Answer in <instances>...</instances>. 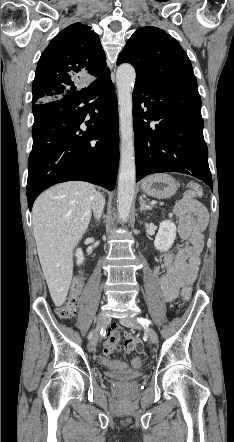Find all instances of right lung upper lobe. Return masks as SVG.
<instances>
[{
  "label": "right lung upper lobe",
  "mask_w": 234,
  "mask_h": 442,
  "mask_svg": "<svg viewBox=\"0 0 234 442\" xmlns=\"http://www.w3.org/2000/svg\"><path fill=\"white\" fill-rule=\"evenodd\" d=\"M106 55L91 27L74 23L57 34L42 53L32 85V103L74 97L86 88L80 80L110 75Z\"/></svg>",
  "instance_id": "1"
}]
</instances>
